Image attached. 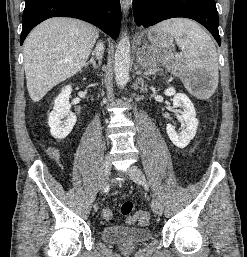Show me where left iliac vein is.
Masks as SVG:
<instances>
[{"label": "left iliac vein", "instance_id": "1", "mask_svg": "<svg viewBox=\"0 0 247 257\" xmlns=\"http://www.w3.org/2000/svg\"><path fill=\"white\" fill-rule=\"evenodd\" d=\"M128 175L130 178L138 185H144L146 183V178L143 172L136 166H131L128 170ZM153 212L160 216L162 215L163 209L160 202L157 199H154L152 202Z\"/></svg>", "mask_w": 247, "mask_h": 257}]
</instances>
